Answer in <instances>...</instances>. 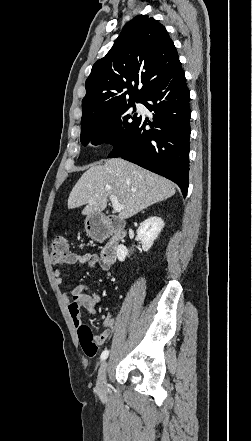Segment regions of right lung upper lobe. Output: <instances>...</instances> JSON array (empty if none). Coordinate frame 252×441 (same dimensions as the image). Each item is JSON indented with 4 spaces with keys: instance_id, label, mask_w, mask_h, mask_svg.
Here are the masks:
<instances>
[{
    "instance_id": "1",
    "label": "right lung upper lobe",
    "mask_w": 252,
    "mask_h": 441,
    "mask_svg": "<svg viewBox=\"0 0 252 441\" xmlns=\"http://www.w3.org/2000/svg\"><path fill=\"white\" fill-rule=\"evenodd\" d=\"M178 61L165 27L147 15L136 16L124 26L106 56L93 65L85 84L81 123L127 104V99L142 100Z\"/></svg>"
}]
</instances>
